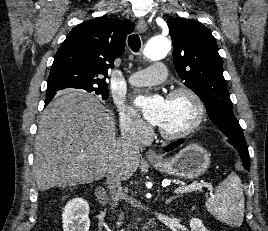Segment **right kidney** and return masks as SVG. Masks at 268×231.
Segmentation results:
<instances>
[{
  "mask_svg": "<svg viewBox=\"0 0 268 231\" xmlns=\"http://www.w3.org/2000/svg\"><path fill=\"white\" fill-rule=\"evenodd\" d=\"M89 204L82 198H74L62 213L63 231H89Z\"/></svg>",
  "mask_w": 268,
  "mask_h": 231,
  "instance_id": "1",
  "label": "right kidney"
}]
</instances>
